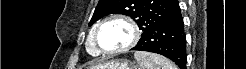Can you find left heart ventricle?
Wrapping results in <instances>:
<instances>
[{"instance_id": "left-heart-ventricle-1", "label": "left heart ventricle", "mask_w": 246, "mask_h": 69, "mask_svg": "<svg viewBox=\"0 0 246 69\" xmlns=\"http://www.w3.org/2000/svg\"><path fill=\"white\" fill-rule=\"evenodd\" d=\"M98 39L105 49L120 48L131 39V30L124 22L111 20L99 31Z\"/></svg>"}]
</instances>
